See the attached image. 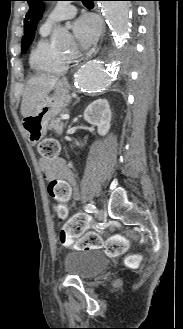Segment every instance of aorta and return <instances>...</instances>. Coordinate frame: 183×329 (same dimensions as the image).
I'll return each mask as SVG.
<instances>
[{
  "instance_id": "1",
  "label": "aorta",
  "mask_w": 183,
  "mask_h": 329,
  "mask_svg": "<svg viewBox=\"0 0 183 329\" xmlns=\"http://www.w3.org/2000/svg\"><path fill=\"white\" fill-rule=\"evenodd\" d=\"M101 8L115 38L120 42L130 32V2L102 1ZM53 39L61 46L68 43V32L61 27L53 31ZM114 62L107 59L104 63L90 62L82 66L75 77L78 88L84 92H99L106 90L111 84V71Z\"/></svg>"
}]
</instances>
